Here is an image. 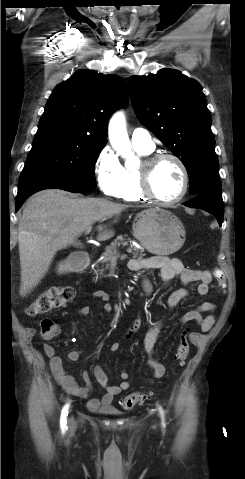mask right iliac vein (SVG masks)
<instances>
[{
    "mask_svg": "<svg viewBox=\"0 0 245 479\" xmlns=\"http://www.w3.org/2000/svg\"><path fill=\"white\" fill-rule=\"evenodd\" d=\"M68 426L71 431H73L76 428V424L73 418H69Z\"/></svg>",
    "mask_w": 245,
    "mask_h": 479,
    "instance_id": "right-iliac-vein-1",
    "label": "right iliac vein"
}]
</instances>
